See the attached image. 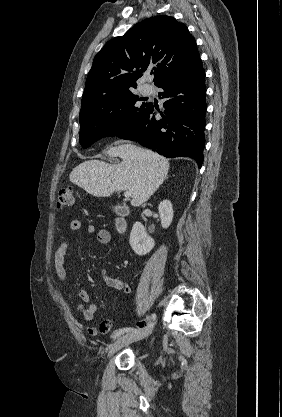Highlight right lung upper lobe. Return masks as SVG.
Listing matches in <instances>:
<instances>
[{
    "label": "right lung upper lobe",
    "mask_w": 282,
    "mask_h": 417,
    "mask_svg": "<svg viewBox=\"0 0 282 417\" xmlns=\"http://www.w3.org/2000/svg\"><path fill=\"white\" fill-rule=\"evenodd\" d=\"M199 59L196 41L183 23L167 15L145 19L108 41L96 55L82 100L136 88L149 69L154 70L153 81L158 85Z\"/></svg>",
    "instance_id": "1"
}]
</instances>
